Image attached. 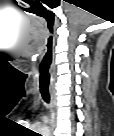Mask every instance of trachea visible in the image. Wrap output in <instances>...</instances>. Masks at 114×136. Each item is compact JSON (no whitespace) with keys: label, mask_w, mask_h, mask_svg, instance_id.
<instances>
[{"label":"trachea","mask_w":114,"mask_h":136,"mask_svg":"<svg viewBox=\"0 0 114 136\" xmlns=\"http://www.w3.org/2000/svg\"><path fill=\"white\" fill-rule=\"evenodd\" d=\"M43 76H46L47 79L46 81H40L39 84V88H40V92L42 95V98L45 102L49 103L50 101V93H49V78H50V74L48 71H41Z\"/></svg>","instance_id":"obj_1"}]
</instances>
